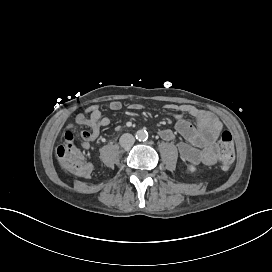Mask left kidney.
Segmentation results:
<instances>
[{"mask_svg": "<svg viewBox=\"0 0 272 272\" xmlns=\"http://www.w3.org/2000/svg\"><path fill=\"white\" fill-rule=\"evenodd\" d=\"M188 170H189L190 172H195V171H196V168H195L193 165H189V166H188Z\"/></svg>", "mask_w": 272, "mask_h": 272, "instance_id": "1", "label": "left kidney"}]
</instances>
